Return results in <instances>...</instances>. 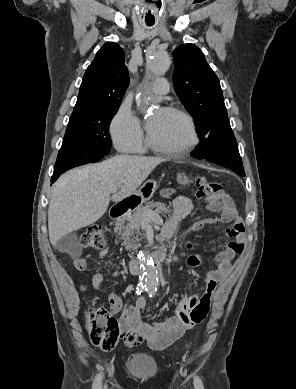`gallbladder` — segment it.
Wrapping results in <instances>:
<instances>
[{"instance_id": "gallbladder-1", "label": "gallbladder", "mask_w": 296, "mask_h": 389, "mask_svg": "<svg viewBox=\"0 0 296 389\" xmlns=\"http://www.w3.org/2000/svg\"><path fill=\"white\" fill-rule=\"evenodd\" d=\"M59 251L68 253L72 257H78L82 253V248L78 240V235L75 232H71L63 236L57 243Z\"/></svg>"}]
</instances>
